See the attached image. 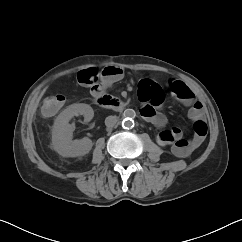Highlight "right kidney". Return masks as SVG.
I'll use <instances>...</instances> for the list:
<instances>
[{
	"instance_id": "right-kidney-1",
	"label": "right kidney",
	"mask_w": 242,
	"mask_h": 242,
	"mask_svg": "<svg viewBox=\"0 0 242 242\" xmlns=\"http://www.w3.org/2000/svg\"><path fill=\"white\" fill-rule=\"evenodd\" d=\"M79 115H83L85 122H89L94 116V111L88 104H72L64 109L54 122L52 146L63 157L84 156L92 149L93 142L87 137L72 141V126L69 124V121L74 116Z\"/></svg>"
}]
</instances>
